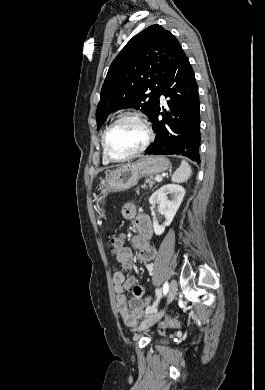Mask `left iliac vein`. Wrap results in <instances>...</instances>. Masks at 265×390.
<instances>
[{"label":"left iliac vein","instance_id":"1","mask_svg":"<svg viewBox=\"0 0 265 390\" xmlns=\"http://www.w3.org/2000/svg\"><path fill=\"white\" fill-rule=\"evenodd\" d=\"M177 289H178L177 281L173 279L170 283L169 290H168V303L171 302L176 297ZM163 314H164V311H161L160 313L156 314L155 316L144 320L139 325L138 331H142V330L152 326L153 324H155L157 321H159L161 319Z\"/></svg>","mask_w":265,"mask_h":390}]
</instances>
